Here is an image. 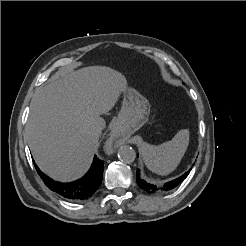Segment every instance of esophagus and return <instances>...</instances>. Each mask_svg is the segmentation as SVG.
<instances>
[{"label":"esophagus","mask_w":246,"mask_h":246,"mask_svg":"<svg viewBox=\"0 0 246 246\" xmlns=\"http://www.w3.org/2000/svg\"><path fill=\"white\" fill-rule=\"evenodd\" d=\"M114 132V131H113ZM112 139H111V141H109L108 143H107V146H111L112 145Z\"/></svg>","instance_id":"esophagus-1"}]
</instances>
